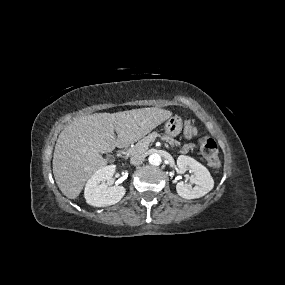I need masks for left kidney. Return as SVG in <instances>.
I'll use <instances>...</instances> for the list:
<instances>
[{
    "mask_svg": "<svg viewBox=\"0 0 285 285\" xmlns=\"http://www.w3.org/2000/svg\"><path fill=\"white\" fill-rule=\"evenodd\" d=\"M177 165L181 171H186L188 169L192 172L190 182L195 184L193 187L191 184L178 182L176 191L179 196L185 199H195L204 196L212 190L214 180L208 169L201 163L189 156L181 155L177 159Z\"/></svg>",
    "mask_w": 285,
    "mask_h": 285,
    "instance_id": "1",
    "label": "left kidney"
}]
</instances>
